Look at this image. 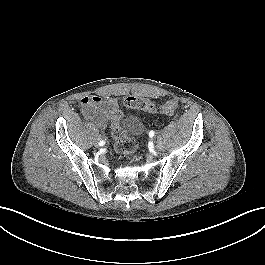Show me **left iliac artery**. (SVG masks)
<instances>
[{"label":"left iliac artery","mask_w":265,"mask_h":265,"mask_svg":"<svg viewBox=\"0 0 265 265\" xmlns=\"http://www.w3.org/2000/svg\"><path fill=\"white\" fill-rule=\"evenodd\" d=\"M154 134H155L154 131H150V132H149V136H150V137H153Z\"/></svg>","instance_id":"left-iliac-artery-1"}]
</instances>
